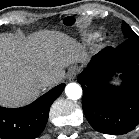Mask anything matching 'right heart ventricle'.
<instances>
[{
    "label": "right heart ventricle",
    "mask_w": 139,
    "mask_h": 139,
    "mask_svg": "<svg viewBox=\"0 0 139 139\" xmlns=\"http://www.w3.org/2000/svg\"><path fill=\"white\" fill-rule=\"evenodd\" d=\"M99 35L98 34H94L93 36H92V38H97Z\"/></svg>",
    "instance_id": "right-heart-ventricle-1"
}]
</instances>
